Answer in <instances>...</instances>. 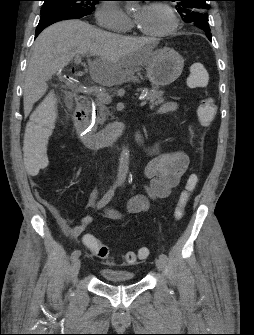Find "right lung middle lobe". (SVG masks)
<instances>
[{
    "mask_svg": "<svg viewBox=\"0 0 254 335\" xmlns=\"http://www.w3.org/2000/svg\"><path fill=\"white\" fill-rule=\"evenodd\" d=\"M41 15L51 12H64L81 18L90 14L100 0H43Z\"/></svg>",
    "mask_w": 254,
    "mask_h": 335,
    "instance_id": "1",
    "label": "right lung middle lobe"
}]
</instances>
